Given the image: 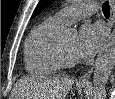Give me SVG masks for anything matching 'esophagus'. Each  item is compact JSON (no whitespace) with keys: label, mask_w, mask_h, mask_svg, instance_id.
I'll return each instance as SVG.
<instances>
[{"label":"esophagus","mask_w":115,"mask_h":99,"mask_svg":"<svg viewBox=\"0 0 115 99\" xmlns=\"http://www.w3.org/2000/svg\"><path fill=\"white\" fill-rule=\"evenodd\" d=\"M109 3H110V18L108 21V35L110 34L115 21V2L114 0H109ZM92 71H93V67H91L88 72H86L79 78L78 83L88 84Z\"/></svg>","instance_id":"esophagus-1"}]
</instances>
